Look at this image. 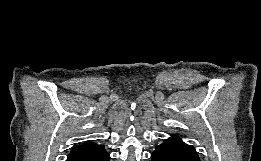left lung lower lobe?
<instances>
[{"label":"left lung lower lobe","mask_w":261,"mask_h":161,"mask_svg":"<svg viewBox=\"0 0 261 161\" xmlns=\"http://www.w3.org/2000/svg\"><path fill=\"white\" fill-rule=\"evenodd\" d=\"M151 158L152 161H200L193 146L183 143L176 136L157 145Z\"/></svg>","instance_id":"0a47b994"}]
</instances>
